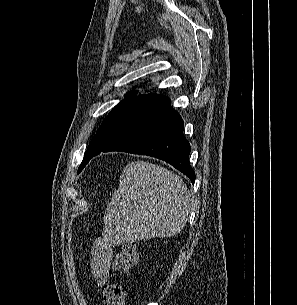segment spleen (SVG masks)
<instances>
[{
  "label": "spleen",
  "mask_w": 297,
  "mask_h": 305,
  "mask_svg": "<svg viewBox=\"0 0 297 305\" xmlns=\"http://www.w3.org/2000/svg\"><path fill=\"white\" fill-rule=\"evenodd\" d=\"M192 196L183 180L155 164H128L107 204L105 234L116 242L171 237L185 226Z\"/></svg>",
  "instance_id": "obj_1"
}]
</instances>
